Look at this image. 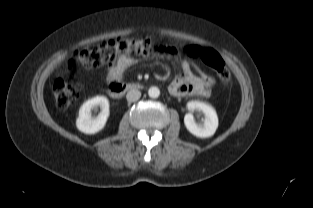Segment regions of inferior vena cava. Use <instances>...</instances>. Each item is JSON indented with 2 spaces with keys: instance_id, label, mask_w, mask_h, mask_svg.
<instances>
[{
  "instance_id": "1",
  "label": "inferior vena cava",
  "mask_w": 313,
  "mask_h": 208,
  "mask_svg": "<svg viewBox=\"0 0 313 208\" xmlns=\"http://www.w3.org/2000/svg\"><path fill=\"white\" fill-rule=\"evenodd\" d=\"M141 97V92L137 89H131L127 92L126 99L129 102H135Z\"/></svg>"
}]
</instances>
